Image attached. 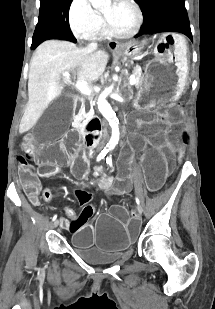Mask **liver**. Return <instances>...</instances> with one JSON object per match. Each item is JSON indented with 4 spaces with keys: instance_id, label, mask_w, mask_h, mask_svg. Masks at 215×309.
I'll list each match as a JSON object with an SVG mask.
<instances>
[{
    "instance_id": "1",
    "label": "liver",
    "mask_w": 215,
    "mask_h": 309,
    "mask_svg": "<svg viewBox=\"0 0 215 309\" xmlns=\"http://www.w3.org/2000/svg\"><path fill=\"white\" fill-rule=\"evenodd\" d=\"M105 50L88 52L67 40H45L37 46L30 62L28 104L20 122V132L33 126L48 104L62 92V72H72L79 80H96L108 62Z\"/></svg>"
}]
</instances>
